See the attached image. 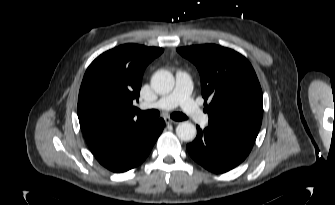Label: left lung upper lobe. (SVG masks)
<instances>
[{
  "label": "left lung upper lobe",
  "mask_w": 335,
  "mask_h": 205,
  "mask_svg": "<svg viewBox=\"0 0 335 205\" xmlns=\"http://www.w3.org/2000/svg\"><path fill=\"white\" fill-rule=\"evenodd\" d=\"M177 52L200 73L209 125L255 140L262 123L263 99L250 62L215 44L181 47Z\"/></svg>",
  "instance_id": "1"
}]
</instances>
